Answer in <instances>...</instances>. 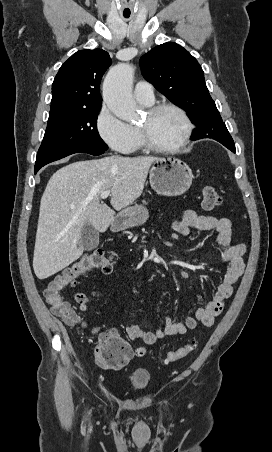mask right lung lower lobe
<instances>
[{"label": "right lung lower lobe", "instance_id": "98d812e1", "mask_svg": "<svg viewBox=\"0 0 272 452\" xmlns=\"http://www.w3.org/2000/svg\"><path fill=\"white\" fill-rule=\"evenodd\" d=\"M79 152L88 153V154H91V155H100V154H103L105 151H91V150H88V149H85V148L78 147V148L69 149V150L64 151L62 153L48 154V155L39 156V157L36 158L34 172L36 174L38 172V170L41 167H43L44 165H46L48 163H51L53 161L59 160L61 158H64V157H66L68 155H71V154H74V153H79Z\"/></svg>", "mask_w": 272, "mask_h": 452}]
</instances>
